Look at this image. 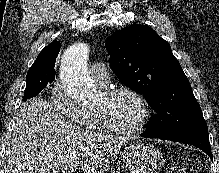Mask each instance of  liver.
<instances>
[{
  "mask_svg": "<svg viewBox=\"0 0 219 173\" xmlns=\"http://www.w3.org/2000/svg\"><path fill=\"white\" fill-rule=\"evenodd\" d=\"M124 139L101 135L64 120L47 100L26 101L7 142L5 173H52L55 168L106 173Z\"/></svg>",
  "mask_w": 219,
  "mask_h": 173,
  "instance_id": "6515ba94",
  "label": "liver"
}]
</instances>
